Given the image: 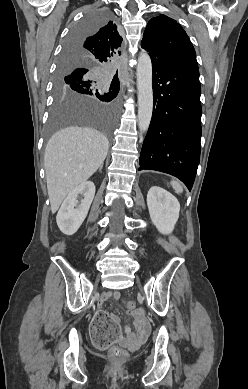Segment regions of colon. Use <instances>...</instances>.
I'll list each match as a JSON object with an SVG mask.
<instances>
[{
    "mask_svg": "<svg viewBox=\"0 0 248 389\" xmlns=\"http://www.w3.org/2000/svg\"><path fill=\"white\" fill-rule=\"evenodd\" d=\"M126 307L133 309L135 302L128 301ZM94 320L90 324L89 331L94 338L92 345L97 350H106L108 344H114L115 340H122L123 331L120 330V324L113 322L108 311H97ZM108 356L116 368L126 358L127 352L123 348L113 346L109 349Z\"/></svg>",
    "mask_w": 248,
    "mask_h": 389,
    "instance_id": "1",
    "label": "colon"
}]
</instances>
